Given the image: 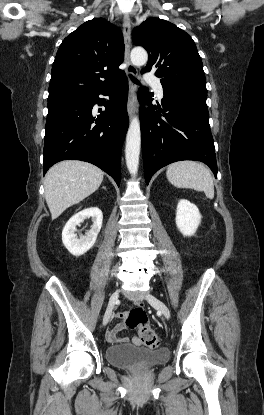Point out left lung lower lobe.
Here are the masks:
<instances>
[{
	"instance_id": "0a47b994",
	"label": "left lung lower lobe",
	"mask_w": 264,
	"mask_h": 415,
	"mask_svg": "<svg viewBox=\"0 0 264 415\" xmlns=\"http://www.w3.org/2000/svg\"><path fill=\"white\" fill-rule=\"evenodd\" d=\"M163 109L152 106V98L139 89L141 142L145 181L160 168L180 160L208 165L217 177L214 141L206 105L207 92L196 89L163 88Z\"/></svg>"
}]
</instances>
